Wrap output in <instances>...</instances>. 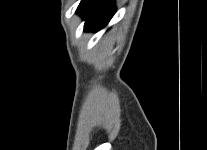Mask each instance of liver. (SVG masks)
I'll use <instances>...</instances> for the list:
<instances>
[{
    "instance_id": "6515ba94",
    "label": "liver",
    "mask_w": 207,
    "mask_h": 150,
    "mask_svg": "<svg viewBox=\"0 0 207 150\" xmlns=\"http://www.w3.org/2000/svg\"><path fill=\"white\" fill-rule=\"evenodd\" d=\"M87 105H88V107H89L90 109H95V108H96V105H97V101L94 100L93 97H91V98L89 99Z\"/></svg>"
}]
</instances>
